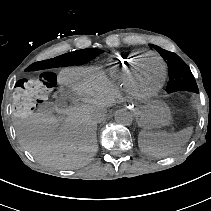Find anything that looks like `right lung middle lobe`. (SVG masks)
I'll return each mask as SVG.
<instances>
[{
	"label": "right lung middle lobe",
	"instance_id": "obj_1",
	"mask_svg": "<svg viewBox=\"0 0 211 211\" xmlns=\"http://www.w3.org/2000/svg\"><path fill=\"white\" fill-rule=\"evenodd\" d=\"M103 53L100 49H83L66 54L68 57V65L82 64L94 59L99 54Z\"/></svg>",
	"mask_w": 211,
	"mask_h": 211
}]
</instances>
